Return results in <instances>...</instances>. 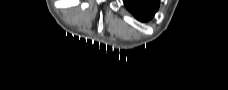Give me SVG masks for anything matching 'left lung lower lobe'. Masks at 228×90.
Segmentation results:
<instances>
[{
  "label": "left lung lower lobe",
  "mask_w": 228,
  "mask_h": 90,
  "mask_svg": "<svg viewBox=\"0 0 228 90\" xmlns=\"http://www.w3.org/2000/svg\"><path fill=\"white\" fill-rule=\"evenodd\" d=\"M126 8L139 20H149L159 7V0H124Z\"/></svg>",
  "instance_id": "1"
}]
</instances>
